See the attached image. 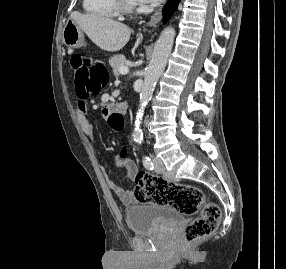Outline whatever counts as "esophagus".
I'll return each instance as SVG.
<instances>
[{"label": "esophagus", "mask_w": 286, "mask_h": 269, "mask_svg": "<svg viewBox=\"0 0 286 269\" xmlns=\"http://www.w3.org/2000/svg\"><path fill=\"white\" fill-rule=\"evenodd\" d=\"M162 18V7H160L150 18L147 27L154 29Z\"/></svg>", "instance_id": "esophagus-1"}]
</instances>
